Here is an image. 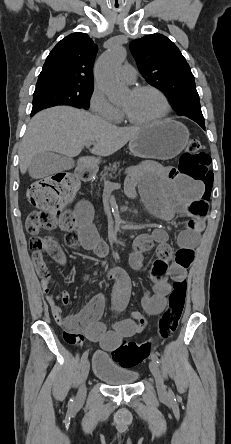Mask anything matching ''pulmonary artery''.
<instances>
[{
    "mask_svg": "<svg viewBox=\"0 0 231 444\" xmlns=\"http://www.w3.org/2000/svg\"><path fill=\"white\" fill-rule=\"evenodd\" d=\"M137 72L131 65H123L119 70V78L128 84H132L136 80Z\"/></svg>",
    "mask_w": 231,
    "mask_h": 444,
    "instance_id": "e3ab8cb5",
    "label": "pulmonary artery"
}]
</instances>
